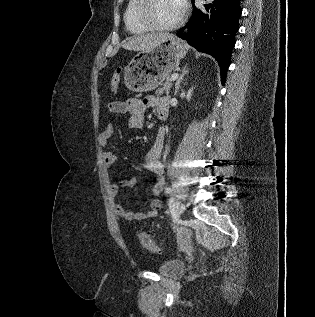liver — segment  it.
Listing matches in <instances>:
<instances>
[{"label":"liver","mask_w":315,"mask_h":317,"mask_svg":"<svg viewBox=\"0 0 315 317\" xmlns=\"http://www.w3.org/2000/svg\"><path fill=\"white\" fill-rule=\"evenodd\" d=\"M168 35L167 33H156L133 36L123 43V48L131 51H149Z\"/></svg>","instance_id":"liver-1"}]
</instances>
